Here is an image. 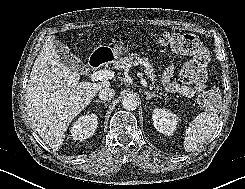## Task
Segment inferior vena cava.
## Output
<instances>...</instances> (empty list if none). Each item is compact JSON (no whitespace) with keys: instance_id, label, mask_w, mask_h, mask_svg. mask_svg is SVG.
<instances>
[{"instance_id":"1","label":"inferior vena cava","mask_w":245,"mask_h":189,"mask_svg":"<svg viewBox=\"0 0 245 189\" xmlns=\"http://www.w3.org/2000/svg\"><path fill=\"white\" fill-rule=\"evenodd\" d=\"M115 95V90L110 88V87H105L102 88L99 92H98V96L101 100L103 101H109L111 100Z\"/></svg>"}]
</instances>
